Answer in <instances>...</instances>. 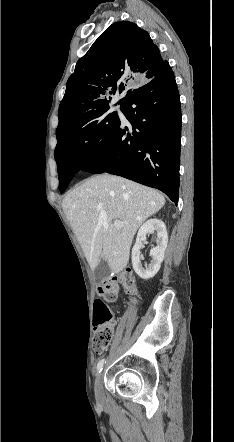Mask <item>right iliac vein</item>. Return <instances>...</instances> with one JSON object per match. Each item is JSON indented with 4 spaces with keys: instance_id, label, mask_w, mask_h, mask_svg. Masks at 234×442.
I'll return each instance as SVG.
<instances>
[{
    "instance_id": "1",
    "label": "right iliac vein",
    "mask_w": 234,
    "mask_h": 442,
    "mask_svg": "<svg viewBox=\"0 0 234 442\" xmlns=\"http://www.w3.org/2000/svg\"><path fill=\"white\" fill-rule=\"evenodd\" d=\"M95 395L98 399H101L103 396L102 374L98 375L95 380Z\"/></svg>"
}]
</instances>
